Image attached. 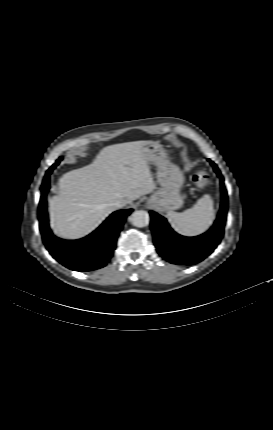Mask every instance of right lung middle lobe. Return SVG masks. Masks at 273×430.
Instances as JSON below:
<instances>
[{"label":"right lung middle lobe","instance_id":"right-lung-middle-lobe-1","mask_svg":"<svg viewBox=\"0 0 273 430\" xmlns=\"http://www.w3.org/2000/svg\"><path fill=\"white\" fill-rule=\"evenodd\" d=\"M63 159V157H60L57 161H56V165H58L59 164V162L61 161Z\"/></svg>","mask_w":273,"mask_h":430}]
</instances>
